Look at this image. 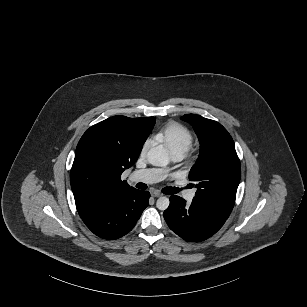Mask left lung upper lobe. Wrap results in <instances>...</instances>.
Segmentation results:
<instances>
[{
  "label": "left lung upper lobe",
  "mask_w": 307,
  "mask_h": 307,
  "mask_svg": "<svg viewBox=\"0 0 307 307\" xmlns=\"http://www.w3.org/2000/svg\"><path fill=\"white\" fill-rule=\"evenodd\" d=\"M200 141V155L189 173L196 182L193 202L226 218L229 217L240 182L241 168L234 142L218 122L196 114H186Z\"/></svg>",
  "instance_id": "1"
}]
</instances>
